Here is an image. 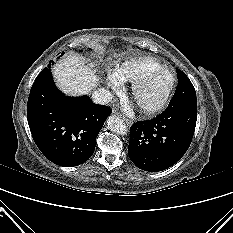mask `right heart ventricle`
<instances>
[{"label": "right heart ventricle", "mask_w": 233, "mask_h": 233, "mask_svg": "<svg viewBox=\"0 0 233 233\" xmlns=\"http://www.w3.org/2000/svg\"><path fill=\"white\" fill-rule=\"evenodd\" d=\"M163 67L151 57L134 58L122 63L116 73L122 83H133L151 69Z\"/></svg>", "instance_id": "obj_1"}]
</instances>
